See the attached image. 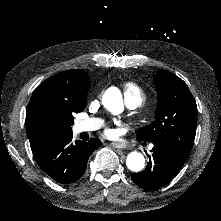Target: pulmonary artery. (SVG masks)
<instances>
[{
    "instance_id": "pulmonary-artery-1",
    "label": "pulmonary artery",
    "mask_w": 221,
    "mask_h": 221,
    "mask_svg": "<svg viewBox=\"0 0 221 221\" xmlns=\"http://www.w3.org/2000/svg\"><path fill=\"white\" fill-rule=\"evenodd\" d=\"M127 90V106L129 109L134 110L138 108L141 104V95L136 88L137 83L135 80L130 79L126 83ZM103 121L101 119H90L88 121H82L79 123V130L80 131H89L91 129H98L102 126Z\"/></svg>"
}]
</instances>
